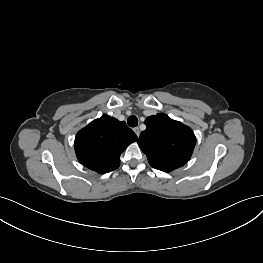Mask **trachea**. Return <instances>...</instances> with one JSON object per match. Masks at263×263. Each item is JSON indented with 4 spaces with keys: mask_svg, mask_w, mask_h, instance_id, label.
<instances>
[{
    "mask_svg": "<svg viewBox=\"0 0 263 263\" xmlns=\"http://www.w3.org/2000/svg\"><path fill=\"white\" fill-rule=\"evenodd\" d=\"M127 123L130 127H136L138 125V118L135 115H131L128 118Z\"/></svg>",
    "mask_w": 263,
    "mask_h": 263,
    "instance_id": "obj_1",
    "label": "trachea"
}]
</instances>
